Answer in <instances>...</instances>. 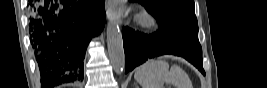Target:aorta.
<instances>
[{
    "label": "aorta",
    "instance_id": "aorta-1",
    "mask_svg": "<svg viewBox=\"0 0 267 88\" xmlns=\"http://www.w3.org/2000/svg\"><path fill=\"white\" fill-rule=\"evenodd\" d=\"M108 54L113 69L120 74L125 67L123 38L117 21L110 19L106 27Z\"/></svg>",
    "mask_w": 267,
    "mask_h": 88
}]
</instances>
